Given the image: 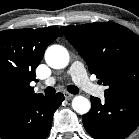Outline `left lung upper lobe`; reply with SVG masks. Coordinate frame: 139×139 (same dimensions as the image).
I'll list each match as a JSON object with an SVG mask.
<instances>
[{
  "mask_svg": "<svg viewBox=\"0 0 139 139\" xmlns=\"http://www.w3.org/2000/svg\"><path fill=\"white\" fill-rule=\"evenodd\" d=\"M111 98L139 90V37L113 22L61 27Z\"/></svg>",
  "mask_w": 139,
  "mask_h": 139,
  "instance_id": "5c2ea615",
  "label": "left lung upper lobe"
}]
</instances>
